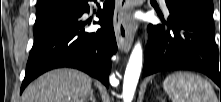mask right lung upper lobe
Instances as JSON below:
<instances>
[{"label":"right lung upper lobe","instance_id":"right-lung-upper-lobe-1","mask_svg":"<svg viewBox=\"0 0 221 102\" xmlns=\"http://www.w3.org/2000/svg\"><path fill=\"white\" fill-rule=\"evenodd\" d=\"M54 0H38L37 8L50 5Z\"/></svg>","mask_w":221,"mask_h":102}]
</instances>
